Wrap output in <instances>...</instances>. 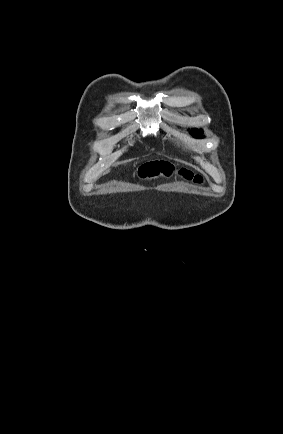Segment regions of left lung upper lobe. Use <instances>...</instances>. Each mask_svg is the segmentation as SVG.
Wrapping results in <instances>:
<instances>
[{"label":"left lung upper lobe","instance_id":"5c2ea615","mask_svg":"<svg viewBox=\"0 0 283 434\" xmlns=\"http://www.w3.org/2000/svg\"><path fill=\"white\" fill-rule=\"evenodd\" d=\"M192 136L196 137V138H201L203 137V131L202 130H197V129H192L191 131Z\"/></svg>","mask_w":283,"mask_h":434}]
</instances>
